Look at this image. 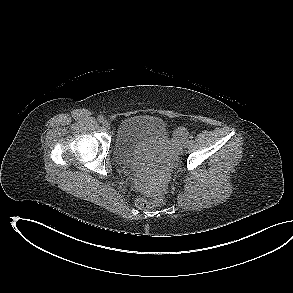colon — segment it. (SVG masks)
Instances as JSON below:
<instances>
[{"label": "colon", "instance_id": "1", "mask_svg": "<svg viewBox=\"0 0 293 293\" xmlns=\"http://www.w3.org/2000/svg\"><path fill=\"white\" fill-rule=\"evenodd\" d=\"M181 129L178 130V134H181ZM164 204V200L162 198H155V199H147L144 197H139L136 200V205L140 209H151L155 207L162 206Z\"/></svg>", "mask_w": 293, "mask_h": 293}]
</instances>
